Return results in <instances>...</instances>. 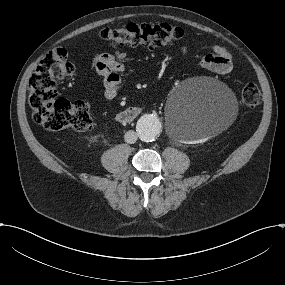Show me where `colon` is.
Instances as JSON below:
<instances>
[{
	"mask_svg": "<svg viewBox=\"0 0 285 285\" xmlns=\"http://www.w3.org/2000/svg\"><path fill=\"white\" fill-rule=\"evenodd\" d=\"M100 36L112 47L144 44L162 46L184 36L181 27L165 22L157 24L130 23L120 28H104ZM75 66L68 61L67 51L57 48L43 58L30 78L28 103L34 121L53 132L63 130H88L92 124L89 107L82 101L70 102L58 96L56 84L75 73ZM261 101V91L254 83L244 86L241 103L248 108Z\"/></svg>",
	"mask_w": 285,
	"mask_h": 285,
	"instance_id": "obj_1",
	"label": "colon"
}]
</instances>
